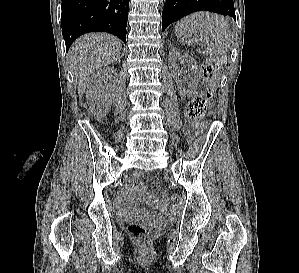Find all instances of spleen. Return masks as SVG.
<instances>
[{
  "label": "spleen",
  "instance_id": "obj_1",
  "mask_svg": "<svg viewBox=\"0 0 299 273\" xmlns=\"http://www.w3.org/2000/svg\"><path fill=\"white\" fill-rule=\"evenodd\" d=\"M177 38L187 45L196 43L193 34L199 35L206 56H221L228 52L232 32L227 18L208 12H197L178 21L175 26Z\"/></svg>",
  "mask_w": 299,
  "mask_h": 273
}]
</instances>
